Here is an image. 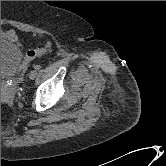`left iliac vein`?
I'll list each match as a JSON object with an SVG mask.
<instances>
[{
  "label": "left iliac vein",
  "mask_w": 166,
  "mask_h": 166,
  "mask_svg": "<svg viewBox=\"0 0 166 166\" xmlns=\"http://www.w3.org/2000/svg\"><path fill=\"white\" fill-rule=\"evenodd\" d=\"M36 75H37V71H36V70H32V71L29 73V78H30L31 80H33V79H35Z\"/></svg>",
  "instance_id": "obj_1"
}]
</instances>
